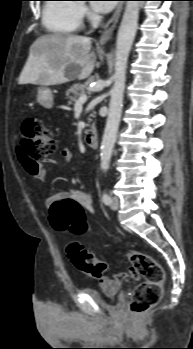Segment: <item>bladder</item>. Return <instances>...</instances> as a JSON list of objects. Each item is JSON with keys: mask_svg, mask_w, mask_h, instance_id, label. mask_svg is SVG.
I'll return each instance as SVG.
<instances>
[{"mask_svg": "<svg viewBox=\"0 0 193 349\" xmlns=\"http://www.w3.org/2000/svg\"><path fill=\"white\" fill-rule=\"evenodd\" d=\"M127 280V279H126ZM125 280V281H126ZM85 292L99 305H103L105 307H110L109 302L115 303L118 302L121 294H116L112 297H105L100 291L92 288H86Z\"/></svg>", "mask_w": 193, "mask_h": 349, "instance_id": "31cf9c89", "label": "bladder"}]
</instances>
